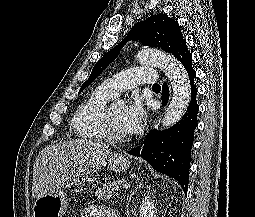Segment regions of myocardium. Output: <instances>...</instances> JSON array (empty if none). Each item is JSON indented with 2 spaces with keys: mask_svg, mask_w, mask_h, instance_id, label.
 <instances>
[{
  "mask_svg": "<svg viewBox=\"0 0 255 217\" xmlns=\"http://www.w3.org/2000/svg\"><path fill=\"white\" fill-rule=\"evenodd\" d=\"M110 109L111 107H106L102 116L103 130L106 139L114 142H125L129 139V137L115 132L111 121Z\"/></svg>",
  "mask_w": 255,
  "mask_h": 217,
  "instance_id": "obj_1",
  "label": "myocardium"
}]
</instances>
